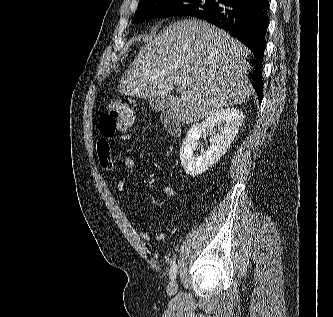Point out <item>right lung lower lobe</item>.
Wrapping results in <instances>:
<instances>
[{
	"mask_svg": "<svg viewBox=\"0 0 333 317\" xmlns=\"http://www.w3.org/2000/svg\"><path fill=\"white\" fill-rule=\"evenodd\" d=\"M268 10V0H225L217 8L195 15L230 32L252 51L255 56L252 85L260 102L263 91L261 69L269 24Z\"/></svg>",
	"mask_w": 333,
	"mask_h": 317,
	"instance_id": "right-lung-lower-lobe-1",
	"label": "right lung lower lobe"
}]
</instances>
